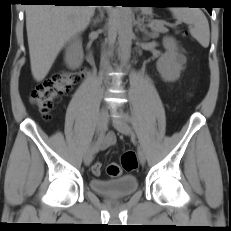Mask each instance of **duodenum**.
Wrapping results in <instances>:
<instances>
[{
    "label": "duodenum",
    "instance_id": "duodenum-1",
    "mask_svg": "<svg viewBox=\"0 0 231 231\" xmlns=\"http://www.w3.org/2000/svg\"><path fill=\"white\" fill-rule=\"evenodd\" d=\"M90 60L92 61V56L90 55Z\"/></svg>",
    "mask_w": 231,
    "mask_h": 231
}]
</instances>
